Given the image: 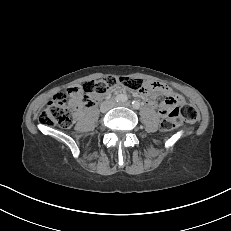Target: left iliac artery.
Returning a JSON list of instances; mask_svg holds the SVG:
<instances>
[{"mask_svg":"<svg viewBox=\"0 0 231 231\" xmlns=\"http://www.w3.org/2000/svg\"><path fill=\"white\" fill-rule=\"evenodd\" d=\"M132 106L134 109H139L140 108V103L136 100L132 101Z\"/></svg>","mask_w":231,"mask_h":231,"instance_id":"left-iliac-artery-1","label":"left iliac artery"}]
</instances>
